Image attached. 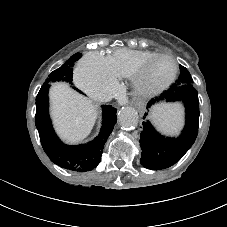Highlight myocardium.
Listing matches in <instances>:
<instances>
[{
    "label": "myocardium",
    "mask_w": 227,
    "mask_h": 227,
    "mask_svg": "<svg viewBox=\"0 0 227 227\" xmlns=\"http://www.w3.org/2000/svg\"><path fill=\"white\" fill-rule=\"evenodd\" d=\"M160 59L168 60L172 65V71L166 80L156 82L151 78V68L153 64ZM177 72L178 66L172 56L168 54H156L147 60L132 77L133 90L140 97L150 98L157 96L167 90L174 83Z\"/></svg>",
    "instance_id": "obj_1"
}]
</instances>
